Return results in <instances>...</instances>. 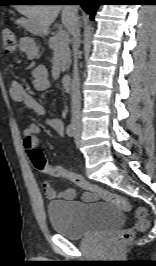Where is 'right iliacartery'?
Returning <instances> with one entry per match:
<instances>
[{
  "label": "right iliac artery",
  "mask_w": 156,
  "mask_h": 266,
  "mask_svg": "<svg viewBox=\"0 0 156 266\" xmlns=\"http://www.w3.org/2000/svg\"><path fill=\"white\" fill-rule=\"evenodd\" d=\"M66 133H67L68 136H70V137H74V136H75V134H76V128H75V125H74L73 123H70V124L67 126Z\"/></svg>",
  "instance_id": "right-iliac-artery-1"
}]
</instances>
